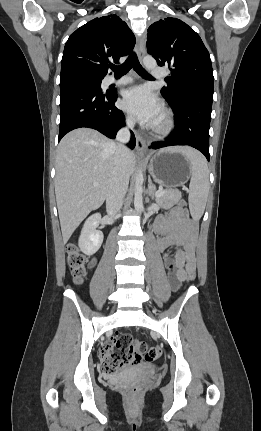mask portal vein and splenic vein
Wrapping results in <instances>:
<instances>
[{"label": "portal vein and splenic vein", "mask_w": 261, "mask_h": 431, "mask_svg": "<svg viewBox=\"0 0 261 431\" xmlns=\"http://www.w3.org/2000/svg\"><path fill=\"white\" fill-rule=\"evenodd\" d=\"M93 186H94V187H97V186H98V183H96V182H95V183L93 184ZM164 192H165V190L160 189V190H158V191L155 193V196H156V197H159V196H161Z\"/></svg>", "instance_id": "18ae733b"}]
</instances>
